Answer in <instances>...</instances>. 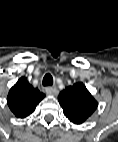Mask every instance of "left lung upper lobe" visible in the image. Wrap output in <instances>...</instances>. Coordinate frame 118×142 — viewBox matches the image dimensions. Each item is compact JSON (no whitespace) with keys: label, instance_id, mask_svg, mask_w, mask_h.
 <instances>
[{"label":"left lung upper lobe","instance_id":"left-lung-upper-lobe-1","mask_svg":"<svg viewBox=\"0 0 118 142\" xmlns=\"http://www.w3.org/2000/svg\"><path fill=\"white\" fill-rule=\"evenodd\" d=\"M58 101L64 115L74 124L84 123L98 106V102L81 82L60 92Z\"/></svg>","mask_w":118,"mask_h":142}]
</instances>
